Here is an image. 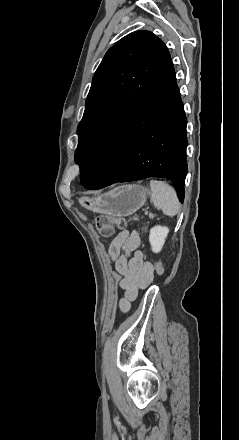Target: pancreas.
<instances>
[{"instance_id": "pancreas-1", "label": "pancreas", "mask_w": 239, "mask_h": 440, "mask_svg": "<svg viewBox=\"0 0 239 440\" xmlns=\"http://www.w3.org/2000/svg\"><path fill=\"white\" fill-rule=\"evenodd\" d=\"M146 216L148 214V212H145ZM149 218H154V214H148Z\"/></svg>"}]
</instances>
